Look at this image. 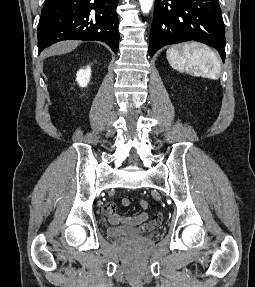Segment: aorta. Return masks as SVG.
I'll return each instance as SVG.
<instances>
[{"label":"aorta","instance_id":"1","mask_svg":"<svg viewBox=\"0 0 255 287\" xmlns=\"http://www.w3.org/2000/svg\"><path fill=\"white\" fill-rule=\"evenodd\" d=\"M143 13H148L152 7L153 0H139Z\"/></svg>","mask_w":255,"mask_h":287}]
</instances>
